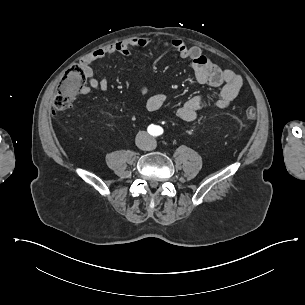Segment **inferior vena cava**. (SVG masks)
Here are the masks:
<instances>
[{"instance_id": "obj_1", "label": "inferior vena cava", "mask_w": 305, "mask_h": 305, "mask_svg": "<svg viewBox=\"0 0 305 305\" xmlns=\"http://www.w3.org/2000/svg\"><path fill=\"white\" fill-rule=\"evenodd\" d=\"M136 145L141 150H152L154 140L146 132L141 131L136 136Z\"/></svg>"}]
</instances>
